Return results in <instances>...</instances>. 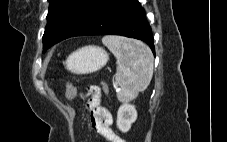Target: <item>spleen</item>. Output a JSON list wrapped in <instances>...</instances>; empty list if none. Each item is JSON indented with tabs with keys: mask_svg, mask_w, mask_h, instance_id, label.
Returning a JSON list of instances; mask_svg holds the SVG:
<instances>
[{
	"mask_svg": "<svg viewBox=\"0 0 227 142\" xmlns=\"http://www.w3.org/2000/svg\"><path fill=\"white\" fill-rule=\"evenodd\" d=\"M102 42L117 59V98L130 101L144 91L153 76V54L141 41L121 36H105Z\"/></svg>",
	"mask_w": 227,
	"mask_h": 142,
	"instance_id": "1",
	"label": "spleen"
}]
</instances>
